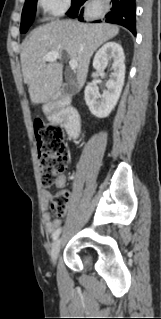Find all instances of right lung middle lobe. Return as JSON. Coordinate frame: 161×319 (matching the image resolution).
Masks as SVG:
<instances>
[{
	"label": "right lung middle lobe",
	"instance_id": "right-lung-middle-lobe-1",
	"mask_svg": "<svg viewBox=\"0 0 161 319\" xmlns=\"http://www.w3.org/2000/svg\"><path fill=\"white\" fill-rule=\"evenodd\" d=\"M77 0H72V4H74ZM36 4L37 0H26L25 5L22 12L21 17V26H20V32L25 33L28 28L31 26L35 12H36Z\"/></svg>",
	"mask_w": 161,
	"mask_h": 319
}]
</instances>
